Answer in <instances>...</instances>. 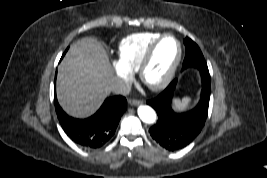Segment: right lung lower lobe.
I'll return each mask as SVG.
<instances>
[{
  "instance_id": "right-lung-lower-lobe-1",
  "label": "right lung lower lobe",
  "mask_w": 267,
  "mask_h": 178,
  "mask_svg": "<svg viewBox=\"0 0 267 178\" xmlns=\"http://www.w3.org/2000/svg\"><path fill=\"white\" fill-rule=\"evenodd\" d=\"M59 122L72 141L86 148H99L114 135L122 114L127 109L123 96L107 98L100 109L91 117L76 119L67 115L54 97Z\"/></svg>"
}]
</instances>
